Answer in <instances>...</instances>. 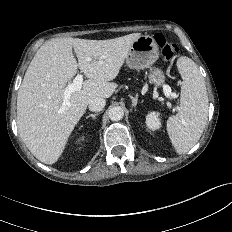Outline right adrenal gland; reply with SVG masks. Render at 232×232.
Masks as SVG:
<instances>
[{
	"mask_svg": "<svg viewBox=\"0 0 232 232\" xmlns=\"http://www.w3.org/2000/svg\"><path fill=\"white\" fill-rule=\"evenodd\" d=\"M97 115H98V113L89 114V115L86 117V119H88V118H90V117H92L93 119H95Z\"/></svg>",
	"mask_w": 232,
	"mask_h": 232,
	"instance_id": "right-adrenal-gland-1",
	"label": "right adrenal gland"
}]
</instances>
